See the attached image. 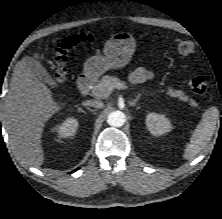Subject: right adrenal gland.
Masks as SVG:
<instances>
[{"instance_id": "1", "label": "right adrenal gland", "mask_w": 222, "mask_h": 219, "mask_svg": "<svg viewBox=\"0 0 222 219\" xmlns=\"http://www.w3.org/2000/svg\"><path fill=\"white\" fill-rule=\"evenodd\" d=\"M87 110L93 112L94 110L93 109H90L89 107H86Z\"/></svg>"}]
</instances>
